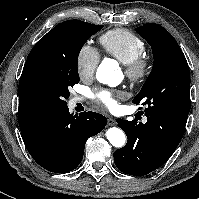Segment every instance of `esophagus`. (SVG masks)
<instances>
[{"mask_svg": "<svg viewBox=\"0 0 199 199\" xmlns=\"http://www.w3.org/2000/svg\"><path fill=\"white\" fill-rule=\"evenodd\" d=\"M107 123L109 126H114L116 124V122L113 118H108Z\"/></svg>", "mask_w": 199, "mask_h": 199, "instance_id": "34e87169", "label": "esophagus"}]
</instances>
